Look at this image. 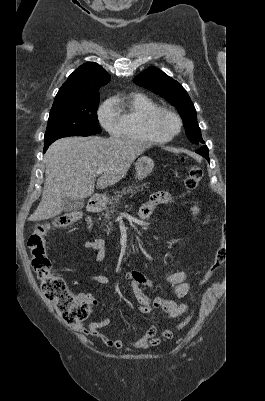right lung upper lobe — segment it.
I'll list each match as a JSON object with an SVG mask.
<instances>
[{"mask_svg": "<svg viewBox=\"0 0 265 401\" xmlns=\"http://www.w3.org/2000/svg\"><path fill=\"white\" fill-rule=\"evenodd\" d=\"M109 80V74L99 64L87 62L68 77L59 89L53 106L76 99L97 96L99 95V88Z\"/></svg>", "mask_w": 265, "mask_h": 401, "instance_id": "cb5924a9", "label": "right lung upper lobe"}]
</instances>
